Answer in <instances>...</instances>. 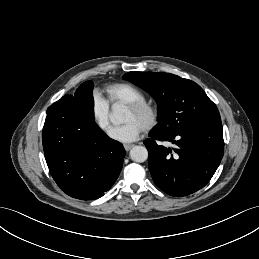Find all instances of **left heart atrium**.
Listing matches in <instances>:
<instances>
[{"label": "left heart atrium", "instance_id": "left-heart-atrium-1", "mask_svg": "<svg viewBox=\"0 0 259 259\" xmlns=\"http://www.w3.org/2000/svg\"><path fill=\"white\" fill-rule=\"evenodd\" d=\"M142 128L132 121H125L124 123L113 127L109 131L110 137L122 142H132L139 138Z\"/></svg>", "mask_w": 259, "mask_h": 259}]
</instances>
